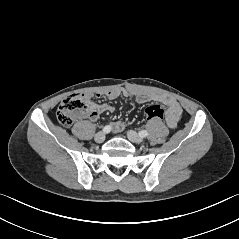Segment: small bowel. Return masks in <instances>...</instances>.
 Instances as JSON below:
<instances>
[{
	"mask_svg": "<svg viewBox=\"0 0 239 239\" xmlns=\"http://www.w3.org/2000/svg\"><path fill=\"white\" fill-rule=\"evenodd\" d=\"M105 95L109 99H117L122 95L126 97L133 96V94H131L130 92L121 91L118 89L109 90L105 92ZM96 96L99 97L101 96V94H96ZM135 99L138 103H146L149 101L162 103L167 108L165 114L166 124L170 128H175L177 126L178 121L181 117L182 110L179 103L173 97L160 94H138L135 95ZM114 110L115 107L113 105L107 103H100L95 106V111L91 116H89V118L91 120H96L101 113H111L114 112ZM111 128L114 132H121L125 128V123L121 120L115 121L112 123Z\"/></svg>",
	"mask_w": 239,
	"mask_h": 239,
	"instance_id": "1",
	"label": "small bowel"
}]
</instances>
